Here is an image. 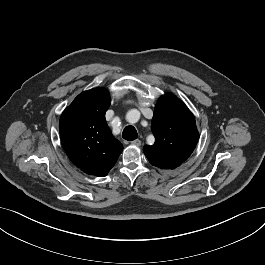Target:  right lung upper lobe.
<instances>
[{"mask_svg": "<svg viewBox=\"0 0 265 265\" xmlns=\"http://www.w3.org/2000/svg\"><path fill=\"white\" fill-rule=\"evenodd\" d=\"M110 102L109 92L104 88L84 91L60 118L59 130L66 154L89 175L106 176L123 150L106 124L105 113Z\"/></svg>", "mask_w": 265, "mask_h": 265, "instance_id": "1", "label": "right lung upper lobe"}]
</instances>
